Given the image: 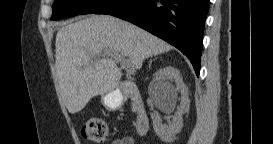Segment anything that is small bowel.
Listing matches in <instances>:
<instances>
[{
  "label": "small bowel",
  "instance_id": "c3829d8e",
  "mask_svg": "<svg viewBox=\"0 0 273 144\" xmlns=\"http://www.w3.org/2000/svg\"><path fill=\"white\" fill-rule=\"evenodd\" d=\"M113 143L114 144H130L131 142L128 137H123V138L116 139Z\"/></svg>",
  "mask_w": 273,
  "mask_h": 144
}]
</instances>
